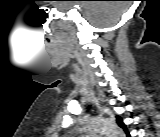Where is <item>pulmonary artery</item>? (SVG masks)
Returning a JSON list of instances; mask_svg holds the SVG:
<instances>
[{
    "instance_id": "pulmonary-artery-1",
    "label": "pulmonary artery",
    "mask_w": 160,
    "mask_h": 137,
    "mask_svg": "<svg viewBox=\"0 0 160 137\" xmlns=\"http://www.w3.org/2000/svg\"><path fill=\"white\" fill-rule=\"evenodd\" d=\"M82 137H100V136L92 133V134H88V135H85V136H82Z\"/></svg>"
}]
</instances>
